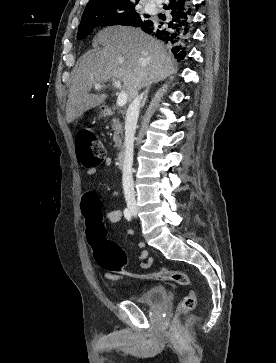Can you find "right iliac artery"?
<instances>
[{"mask_svg": "<svg viewBox=\"0 0 276 363\" xmlns=\"http://www.w3.org/2000/svg\"><path fill=\"white\" fill-rule=\"evenodd\" d=\"M124 217L128 220V221H130L131 220V212H130V210L129 209H124Z\"/></svg>", "mask_w": 276, "mask_h": 363, "instance_id": "82829eb1", "label": "right iliac artery"}]
</instances>
